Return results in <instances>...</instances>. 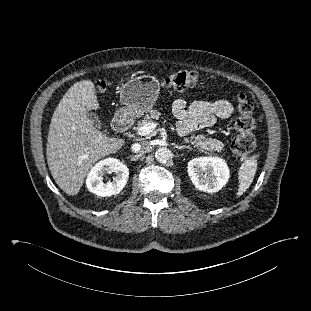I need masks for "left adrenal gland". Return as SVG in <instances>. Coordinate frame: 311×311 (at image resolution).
Instances as JSON below:
<instances>
[{
  "label": "left adrenal gland",
  "instance_id": "a2214340",
  "mask_svg": "<svg viewBox=\"0 0 311 311\" xmlns=\"http://www.w3.org/2000/svg\"><path fill=\"white\" fill-rule=\"evenodd\" d=\"M175 147H176L178 150H182V149H184V148L189 149V150H192V147L186 146V145H177V144H176Z\"/></svg>",
  "mask_w": 311,
  "mask_h": 311
}]
</instances>
